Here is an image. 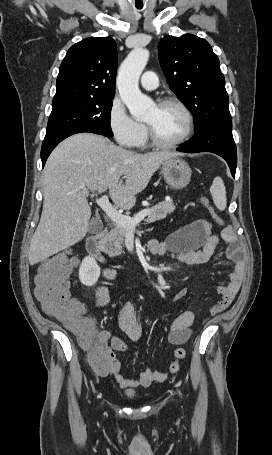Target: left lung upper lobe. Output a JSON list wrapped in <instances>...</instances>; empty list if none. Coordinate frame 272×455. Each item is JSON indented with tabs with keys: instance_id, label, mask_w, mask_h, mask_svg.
<instances>
[{
	"instance_id": "1",
	"label": "left lung upper lobe",
	"mask_w": 272,
	"mask_h": 455,
	"mask_svg": "<svg viewBox=\"0 0 272 455\" xmlns=\"http://www.w3.org/2000/svg\"><path fill=\"white\" fill-rule=\"evenodd\" d=\"M158 48L167 83L192 113L195 133L231 121L225 79L210 44L185 34L164 37Z\"/></svg>"
}]
</instances>
